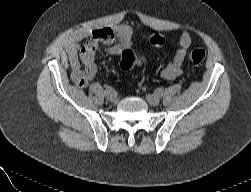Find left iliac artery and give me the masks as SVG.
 Masks as SVG:
<instances>
[{"label": "left iliac artery", "instance_id": "left-iliac-artery-1", "mask_svg": "<svg viewBox=\"0 0 251 192\" xmlns=\"http://www.w3.org/2000/svg\"><path fill=\"white\" fill-rule=\"evenodd\" d=\"M155 93L157 96L161 97L163 95V90L161 88H158L155 90Z\"/></svg>", "mask_w": 251, "mask_h": 192}]
</instances>
